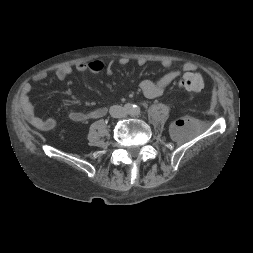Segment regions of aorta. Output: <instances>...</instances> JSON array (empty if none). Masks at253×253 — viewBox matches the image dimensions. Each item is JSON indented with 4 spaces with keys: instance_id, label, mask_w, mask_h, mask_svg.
<instances>
[{
    "instance_id": "obj_1",
    "label": "aorta",
    "mask_w": 253,
    "mask_h": 253,
    "mask_svg": "<svg viewBox=\"0 0 253 253\" xmlns=\"http://www.w3.org/2000/svg\"><path fill=\"white\" fill-rule=\"evenodd\" d=\"M132 106V109L131 110H127V113L128 114H132V115H136L140 112V109L138 106H134V105H131Z\"/></svg>"
}]
</instances>
